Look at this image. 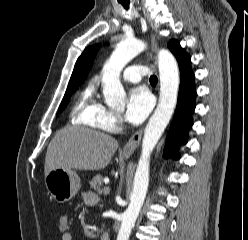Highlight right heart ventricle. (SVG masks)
<instances>
[{
  "mask_svg": "<svg viewBox=\"0 0 248 240\" xmlns=\"http://www.w3.org/2000/svg\"><path fill=\"white\" fill-rule=\"evenodd\" d=\"M103 106L96 97L94 83L83 89L74 105L75 120L79 124L98 127L96 118Z\"/></svg>",
  "mask_w": 248,
  "mask_h": 240,
  "instance_id": "right-heart-ventricle-1",
  "label": "right heart ventricle"
}]
</instances>
